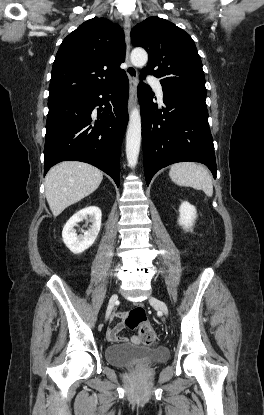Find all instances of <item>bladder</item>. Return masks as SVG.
<instances>
[{"mask_svg": "<svg viewBox=\"0 0 264 415\" xmlns=\"http://www.w3.org/2000/svg\"><path fill=\"white\" fill-rule=\"evenodd\" d=\"M106 361L117 367L127 368L135 362L157 364L166 362L169 351L165 347H143L132 343L107 346L104 350Z\"/></svg>", "mask_w": 264, "mask_h": 415, "instance_id": "bladder-1", "label": "bladder"}]
</instances>
